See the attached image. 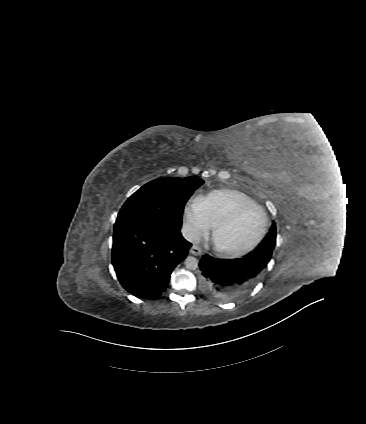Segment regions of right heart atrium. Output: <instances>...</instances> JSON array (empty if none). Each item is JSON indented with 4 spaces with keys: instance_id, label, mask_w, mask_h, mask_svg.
<instances>
[{
    "instance_id": "obj_1",
    "label": "right heart atrium",
    "mask_w": 366,
    "mask_h": 424,
    "mask_svg": "<svg viewBox=\"0 0 366 424\" xmlns=\"http://www.w3.org/2000/svg\"><path fill=\"white\" fill-rule=\"evenodd\" d=\"M183 218L185 232L192 240L203 237L211 228L201 197H193L185 204Z\"/></svg>"
}]
</instances>
